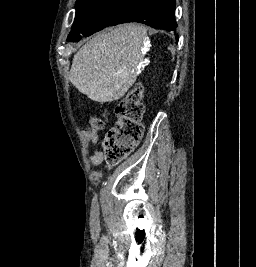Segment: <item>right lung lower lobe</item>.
Instances as JSON below:
<instances>
[{
	"instance_id": "98d812e1",
	"label": "right lung lower lobe",
	"mask_w": 256,
	"mask_h": 267,
	"mask_svg": "<svg viewBox=\"0 0 256 267\" xmlns=\"http://www.w3.org/2000/svg\"><path fill=\"white\" fill-rule=\"evenodd\" d=\"M175 0H139L132 8L111 25L138 22L156 29L175 31ZM178 41V36H176Z\"/></svg>"
}]
</instances>
